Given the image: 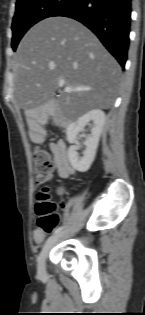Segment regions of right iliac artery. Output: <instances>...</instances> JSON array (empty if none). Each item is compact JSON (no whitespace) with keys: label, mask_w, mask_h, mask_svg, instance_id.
Wrapping results in <instances>:
<instances>
[{"label":"right iliac artery","mask_w":145,"mask_h":315,"mask_svg":"<svg viewBox=\"0 0 145 315\" xmlns=\"http://www.w3.org/2000/svg\"><path fill=\"white\" fill-rule=\"evenodd\" d=\"M62 230V227H58L53 231V234H57Z\"/></svg>","instance_id":"82829eb1"}]
</instances>
